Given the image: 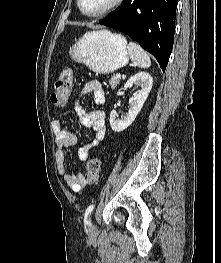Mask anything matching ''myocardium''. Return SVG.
Masks as SVG:
<instances>
[{"label": "myocardium", "instance_id": "1", "mask_svg": "<svg viewBox=\"0 0 221 263\" xmlns=\"http://www.w3.org/2000/svg\"><path fill=\"white\" fill-rule=\"evenodd\" d=\"M122 2L123 0H112L104 9L94 13H89L83 9L82 0H77V5L83 15L90 18H98L114 11L116 8H118L121 5Z\"/></svg>", "mask_w": 221, "mask_h": 263}]
</instances>
